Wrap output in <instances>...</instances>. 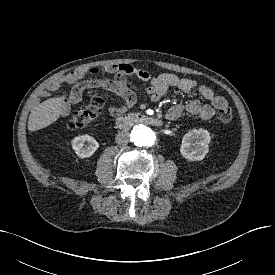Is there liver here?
I'll list each match as a JSON object with an SVG mask.
<instances>
[{
    "mask_svg": "<svg viewBox=\"0 0 275 275\" xmlns=\"http://www.w3.org/2000/svg\"><path fill=\"white\" fill-rule=\"evenodd\" d=\"M66 96L48 99L32 109L28 119V130L33 132L56 122L66 114Z\"/></svg>",
    "mask_w": 275,
    "mask_h": 275,
    "instance_id": "6515ba94",
    "label": "liver"
}]
</instances>
